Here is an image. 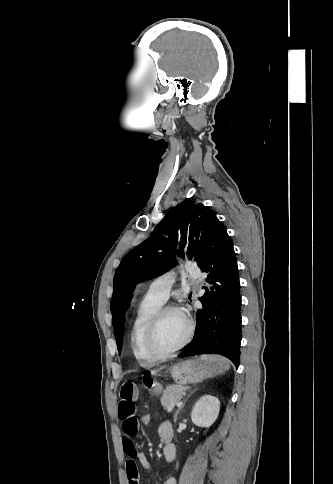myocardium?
Wrapping results in <instances>:
<instances>
[{"label": "myocardium", "mask_w": 333, "mask_h": 484, "mask_svg": "<svg viewBox=\"0 0 333 484\" xmlns=\"http://www.w3.org/2000/svg\"><path fill=\"white\" fill-rule=\"evenodd\" d=\"M169 312H180L179 309L173 306L160 307L150 319L145 332V347L148 353L157 359H166L172 357L180 350H182L192 339L194 333L193 321L186 317L188 322V331L183 341L171 350H162L157 344L158 328L162 318Z\"/></svg>", "instance_id": "1"}]
</instances>
